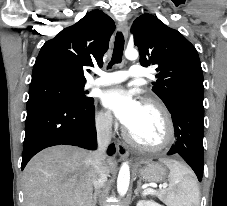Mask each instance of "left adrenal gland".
I'll use <instances>...</instances> for the list:
<instances>
[{
    "label": "left adrenal gland",
    "instance_id": "a2214340",
    "mask_svg": "<svg viewBox=\"0 0 227 206\" xmlns=\"http://www.w3.org/2000/svg\"><path fill=\"white\" fill-rule=\"evenodd\" d=\"M135 195H138L139 193H141V195H143V191L141 189V181L137 182V188L134 191Z\"/></svg>",
    "mask_w": 227,
    "mask_h": 206
}]
</instances>
